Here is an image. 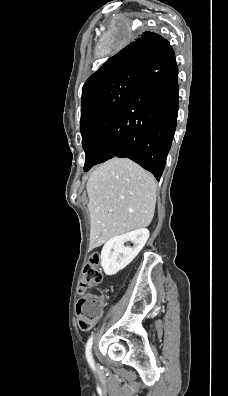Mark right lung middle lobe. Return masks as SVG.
I'll return each mask as SVG.
<instances>
[{
  "mask_svg": "<svg viewBox=\"0 0 228 396\" xmlns=\"http://www.w3.org/2000/svg\"><path fill=\"white\" fill-rule=\"evenodd\" d=\"M140 74L141 70H134L105 81L82 100L80 129L85 172L95 165L110 128Z\"/></svg>",
  "mask_w": 228,
  "mask_h": 396,
  "instance_id": "right-lung-middle-lobe-1",
  "label": "right lung middle lobe"
}]
</instances>
